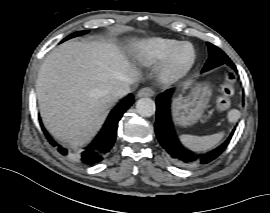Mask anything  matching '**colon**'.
<instances>
[{"instance_id": "obj_1", "label": "colon", "mask_w": 270, "mask_h": 213, "mask_svg": "<svg viewBox=\"0 0 270 213\" xmlns=\"http://www.w3.org/2000/svg\"><path fill=\"white\" fill-rule=\"evenodd\" d=\"M234 82L235 75L233 73H228L223 83L219 87V93L216 97V106L219 109H227L232 103V98L234 96Z\"/></svg>"}]
</instances>
